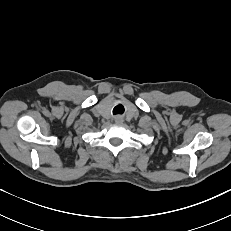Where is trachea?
Wrapping results in <instances>:
<instances>
[{"label": "trachea", "instance_id": "3493384b", "mask_svg": "<svg viewBox=\"0 0 231 231\" xmlns=\"http://www.w3.org/2000/svg\"><path fill=\"white\" fill-rule=\"evenodd\" d=\"M123 113H124V107L121 104L114 107V109H113L114 115L115 114H123Z\"/></svg>", "mask_w": 231, "mask_h": 231}]
</instances>
